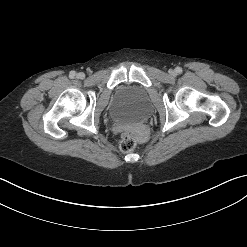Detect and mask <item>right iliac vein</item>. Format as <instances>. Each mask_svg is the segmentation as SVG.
I'll return each mask as SVG.
<instances>
[{
    "mask_svg": "<svg viewBox=\"0 0 247 247\" xmlns=\"http://www.w3.org/2000/svg\"><path fill=\"white\" fill-rule=\"evenodd\" d=\"M77 77L80 78V79H83L85 77V74L80 72L77 74Z\"/></svg>",
    "mask_w": 247,
    "mask_h": 247,
    "instance_id": "obj_1",
    "label": "right iliac vein"
}]
</instances>
